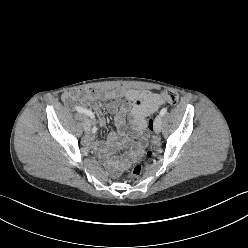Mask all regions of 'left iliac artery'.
<instances>
[{
  "label": "left iliac artery",
  "mask_w": 248,
  "mask_h": 248,
  "mask_svg": "<svg viewBox=\"0 0 248 248\" xmlns=\"http://www.w3.org/2000/svg\"><path fill=\"white\" fill-rule=\"evenodd\" d=\"M167 112V108H162L161 111H160V115L161 116H164Z\"/></svg>",
  "instance_id": "44dca946"
}]
</instances>
